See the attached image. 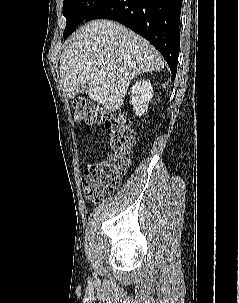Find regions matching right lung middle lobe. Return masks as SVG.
I'll return each instance as SVG.
<instances>
[{
	"instance_id": "right-lung-middle-lobe-1",
	"label": "right lung middle lobe",
	"mask_w": 239,
	"mask_h": 303,
	"mask_svg": "<svg viewBox=\"0 0 239 303\" xmlns=\"http://www.w3.org/2000/svg\"><path fill=\"white\" fill-rule=\"evenodd\" d=\"M105 1L106 0H64L63 15L67 20L64 38L71 35L76 27Z\"/></svg>"
}]
</instances>
